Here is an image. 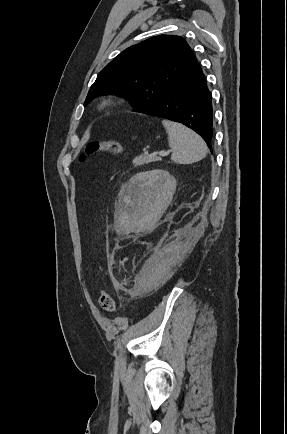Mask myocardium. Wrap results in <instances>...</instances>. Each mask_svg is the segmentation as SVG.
I'll return each mask as SVG.
<instances>
[{
  "label": "myocardium",
  "mask_w": 287,
  "mask_h": 434,
  "mask_svg": "<svg viewBox=\"0 0 287 434\" xmlns=\"http://www.w3.org/2000/svg\"><path fill=\"white\" fill-rule=\"evenodd\" d=\"M110 105H111V101H103L102 104H101V108L105 109V108H107Z\"/></svg>",
  "instance_id": "myocardium-1"
}]
</instances>
